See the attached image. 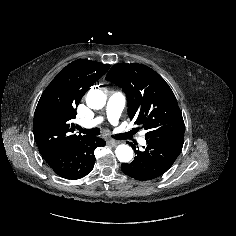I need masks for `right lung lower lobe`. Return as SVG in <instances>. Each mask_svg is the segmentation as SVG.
<instances>
[{
    "label": "right lung lower lobe",
    "mask_w": 236,
    "mask_h": 236,
    "mask_svg": "<svg viewBox=\"0 0 236 236\" xmlns=\"http://www.w3.org/2000/svg\"><path fill=\"white\" fill-rule=\"evenodd\" d=\"M105 144L99 137H89L68 148L44 151L41 155L58 176L75 180L91 172L95 163L94 150Z\"/></svg>",
    "instance_id": "obj_1"
}]
</instances>
